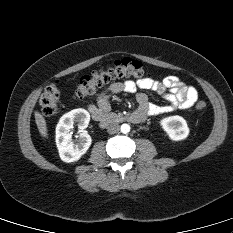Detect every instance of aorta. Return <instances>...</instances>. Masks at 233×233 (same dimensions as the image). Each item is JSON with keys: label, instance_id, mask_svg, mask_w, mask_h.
Wrapping results in <instances>:
<instances>
[{"label": "aorta", "instance_id": "obj_1", "mask_svg": "<svg viewBox=\"0 0 233 233\" xmlns=\"http://www.w3.org/2000/svg\"><path fill=\"white\" fill-rule=\"evenodd\" d=\"M120 129L121 132L124 134L130 132V126L128 124H122Z\"/></svg>", "mask_w": 233, "mask_h": 233}]
</instances>
